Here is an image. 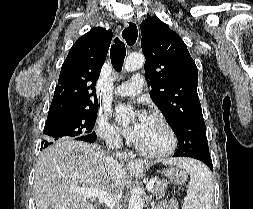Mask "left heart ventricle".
<instances>
[{
    "label": "left heart ventricle",
    "mask_w": 253,
    "mask_h": 209,
    "mask_svg": "<svg viewBox=\"0 0 253 209\" xmlns=\"http://www.w3.org/2000/svg\"><path fill=\"white\" fill-rule=\"evenodd\" d=\"M168 133L164 126L153 118L147 124L143 135L137 142L142 148L151 152H158L168 146Z\"/></svg>",
    "instance_id": "b2bd125f"
}]
</instances>
